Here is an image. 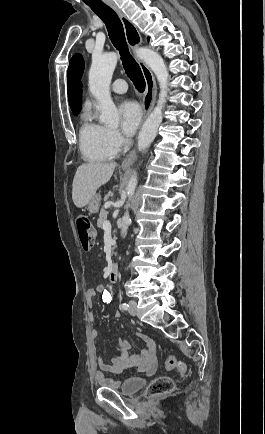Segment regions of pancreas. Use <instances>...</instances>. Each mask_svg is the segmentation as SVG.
<instances>
[{"mask_svg":"<svg viewBox=\"0 0 265 434\" xmlns=\"http://www.w3.org/2000/svg\"><path fill=\"white\" fill-rule=\"evenodd\" d=\"M109 212H106L104 208H101L100 214H99V220H97V228H103L104 222L107 220Z\"/></svg>","mask_w":265,"mask_h":434,"instance_id":"cf45deb5","label":"pancreas"}]
</instances>
